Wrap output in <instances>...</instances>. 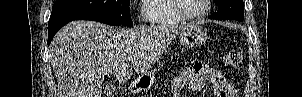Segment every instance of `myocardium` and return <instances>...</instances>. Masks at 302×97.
<instances>
[{"label":"myocardium","instance_id":"obj_1","mask_svg":"<svg viewBox=\"0 0 302 97\" xmlns=\"http://www.w3.org/2000/svg\"><path fill=\"white\" fill-rule=\"evenodd\" d=\"M178 1L179 0H171V6L175 14L183 21H194L200 19L205 15H207L208 12L210 11L211 0H204V9L195 15H187L183 13L180 9Z\"/></svg>","mask_w":302,"mask_h":97}]
</instances>
